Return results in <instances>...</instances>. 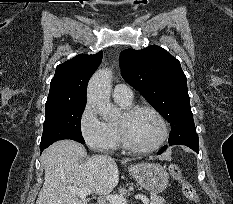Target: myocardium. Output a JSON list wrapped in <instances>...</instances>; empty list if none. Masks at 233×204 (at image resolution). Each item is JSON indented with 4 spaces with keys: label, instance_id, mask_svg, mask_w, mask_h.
<instances>
[{
    "label": "myocardium",
    "instance_id": "obj_1",
    "mask_svg": "<svg viewBox=\"0 0 233 204\" xmlns=\"http://www.w3.org/2000/svg\"><path fill=\"white\" fill-rule=\"evenodd\" d=\"M140 111H148L152 113L159 121L162 129V135L159 141L150 147H139L135 145L128 134L126 123L132 119L137 113ZM123 117H124V123L123 124H117V130L122 142V145L129 151L134 153H140V154H146V153H152L160 149L167 141L169 137V128L168 124L164 118V116L154 107L145 105V104H138V105H132L123 111Z\"/></svg>",
    "mask_w": 233,
    "mask_h": 204
}]
</instances>
